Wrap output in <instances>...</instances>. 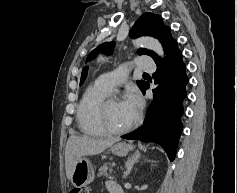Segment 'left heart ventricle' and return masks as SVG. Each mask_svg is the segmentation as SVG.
<instances>
[{
  "instance_id": "b2bd125f",
  "label": "left heart ventricle",
  "mask_w": 237,
  "mask_h": 193,
  "mask_svg": "<svg viewBox=\"0 0 237 193\" xmlns=\"http://www.w3.org/2000/svg\"><path fill=\"white\" fill-rule=\"evenodd\" d=\"M106 119L108 124L115 129L124 128L134 121L124 101L111 103L108 107Z\"/></svg>"
}]
</instances>
